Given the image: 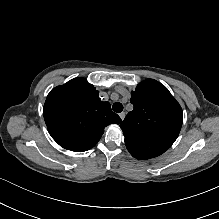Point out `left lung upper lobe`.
Segmentation results:
<instances>
[{"instance_id":"obj_1","label":"left lung upper lobe","mask_w":219,"mask_h":219,"mask_svg":"<svg viewBox=\"0 0 219 219\" xmlns=\"http://www.w3.org/2000/svg\"><path fill=\"white\" fill-rule=\"evenodd\" d=\"M130 101L134 109L120 125L128 151L140 160L161 155L179 135L183 122L179 103L153 79L142 81Z\"/></svg>"}]
</instances>
